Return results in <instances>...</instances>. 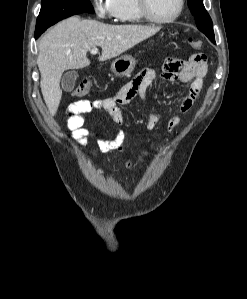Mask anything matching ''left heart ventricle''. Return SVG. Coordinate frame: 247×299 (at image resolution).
<instances>
[{
    "mask_svg": "<svg viewBox=\"0 0 247 299\" xmlns=\"http://www.w3.org/2000/svg\"><path fill=\"white\" fill-rule=\"evenodd\" d=\"M148 5L154 17L166 19L177 11L178 0H148Z\"/></svg>",
    "mask_w": 247,
    "mask_h": 299,
    "instance_id": "left-heart-ventricle-1",
    "label": "left heart ventricle"
}]
</instances>
